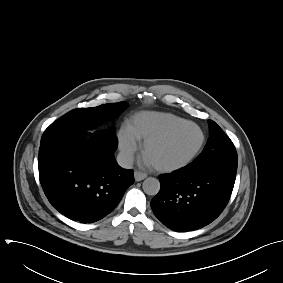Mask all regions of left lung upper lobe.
<instances>
[{"mask_svg":"<svg viewBox=\"0 0 283 283\" xmlns=\"http://www.w3.org/2000/svg\"><path fill=\"white\" fill-rule=\"evenodd\" d=\"M208 122L210 137L207 144L202 153L188 166L237 170V153L232 141L214 121Z\"/></svg>","mask_w":283,"mask_h":283,"instance_id":"left-lung-upper-lobe-1","label":"left lung upper lobe"}]
</instances>
